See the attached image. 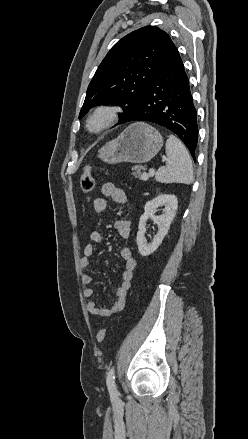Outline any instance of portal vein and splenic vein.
I'll list each match as a JSON object with an SVG mask.
<instances>
[{
    "mask_svg": "<svg viewBox=\"0 0 248 439\" xmlns=\"http://www.w3.org/2000/svg\"><path fill=\"white\" fill-rule=\"evenodd\" d=\"M154 173H155L154 169H153V168H150L148 174H147V173L143 174V176H142V180L146 181V180L148 179L149 175H150V176H153Z\"/></svg>",
    "mask_w": 248,
    "mask_h": 439,
    "instance_id": "1",
    "label": "portal vein and splenic vein"
}]
</instances>
